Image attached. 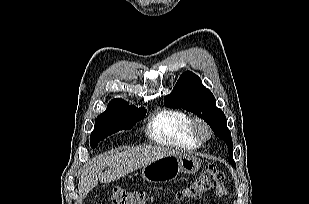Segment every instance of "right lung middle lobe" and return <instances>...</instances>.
<instances>
[{
    "label": "right lung middle lobe",
    "instance_id": "dd1d6c3e",
    "mask_svg": "<svg viewBox=\"0 0 309 204\" xmlns=\"http://www.w3.org/2000/svg\"><path fill=\"white\" fill-rule=\"evenodd\" d=\"M125 101H121L109 105L107 110L100 114L95 120V128L90 136L92 148L108 136L118 132L119 130L131 129L137 121L144 118L146 110L144 108H136L134 105H127Z\"/></svg>",
    "mask_w": 309,
    "mask_h": 204
}]
</instances>
